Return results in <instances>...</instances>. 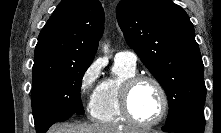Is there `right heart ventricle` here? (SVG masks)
<instances>
[{"instance_id": "right-heart-ventricle-1", "label": "right heart ventricle", "mask_w": 221, "mask_h": 133, "mask_svg": "<svg viewBox=\"0 0 221 133\" xmlns=\"http://www.w3.org/2000/svg\"><path fill=\"white\" fill-rule=\"evenodd\" d=\"M114 76L100 83L91 109L92 117L105 124H123L127 120L120 109V89L123 82L136 74V68L115 62Z\"/></svg>"}]
</instances>
